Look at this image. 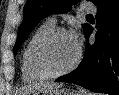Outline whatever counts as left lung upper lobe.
<instances>
[{
  "label": "left lung upper lobe",
  "instance_id": "5c2ea615",
  "mask_svg": "<svg viewBox=\"0 0 119 95\" xmlns=\"http://www.w3.org/2000/svg\"><path fill=\"white\" fill-rule=\"evenodd\" d=\"M79 0H27L23 15L24 19L19 27V35L14 46V55H16L19 47L24 40L28 37L29 33L34 27L46 16L50 14L65 13L71 9ZM94 5H98L102 0H90ZM83 29L88 24H83Z\"/></svg>",
  "mask_w": 119,
  "mask_h": 95
}]
</instances>
